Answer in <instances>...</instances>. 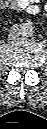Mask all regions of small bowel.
I'll return each instance as SVG.
<instances>
[{
    "label": "small bowel",
    "mask_w": 47,
    "mask_h": 129,
    "mask_svg": "<svg viewBox=\"0 0 47 129\" xmlns=\"http://www.w3.org/2000/svg\"><path fill=\"white\" fill-rule=\"evenodd\" d=\"M39 0H2L4 8L24 10L29 14H37L41 8L38 5Z\"/></svg>",
    "instance_id": "obj_1"
}]
</instances>
